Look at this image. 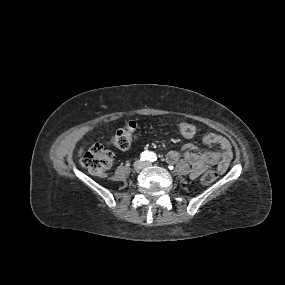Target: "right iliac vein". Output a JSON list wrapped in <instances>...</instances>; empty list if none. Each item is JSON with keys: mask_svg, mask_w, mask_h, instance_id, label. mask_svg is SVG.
Returning <instances> with one entry per match:
<instances>
[{"mask_svg": "<svg viewBox=\"0 0 285 285\" xmlns=\"http://www.w3.org/2000/svg\"><path fill=\"white\" fill-rule=\"evenodd\" d=\"M143 168H144V163L142 161L138 160L134 163V170L135 171H140Z\"/></svg>", "mask_w": 285, "mask_h": 285, "instance_id": "obj_1", "label": "right iliac vein"}]
</instances>
